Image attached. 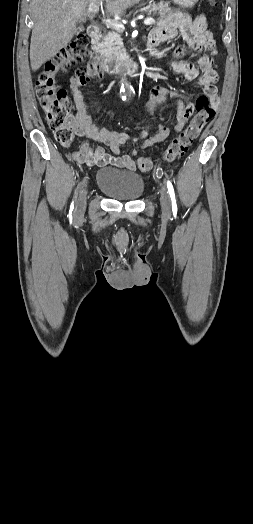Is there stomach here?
I'll list each match as a JSON object with an SVG mask.
<instances>
[{
	"label": "stomach",
	"mask_w": 253,
	"mask_h": 524,
	"mask_svg": "<svg viewBox=\"0 0 253 524\" xmlns=\"http://www.w3.org/2000/svg\"><path fill=\"white\" fill-rule=\"evenodd\" d=\"M176 5H179L182 8H191L193 7L198 0H172Z\"/></svg>",
	"instance_id": "stomach-1"
}]
</instances>
